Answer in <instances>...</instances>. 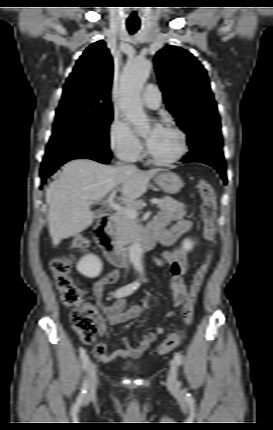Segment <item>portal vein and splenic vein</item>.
I'll return each instance as SVG.
<instances>
[{"label": "portal vein and splenic vein", "mask_w": 273, "mask_h": 430, "mask_svg": "<svg viewBox=\"0 0 273 430\" xmlns=\"http://www.w3.org/2000/svg\"><path fill=\"white\" fill-rule=\"evenodd\" d=\"M116 193V189L112 191V193L109 195L106 204L112 208L113 210L120 212V213H124L125 215L129 216L130 218H136L138 216V211L136 209L133 208H124L122 207L120 204H117L116 202H114L113 197L115 196ZM161 202L160 199L157 198H153L151 200L152 204H159Z\"/></svg>", "instance_id": "18ae733b"}]
</instances>
